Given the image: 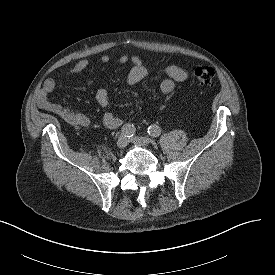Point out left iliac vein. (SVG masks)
I'll list each match as a JSON object with an SVG mask.
<instances>
[{
  "label": "left iliac vein",
  "instance_id": "left-iliac-vein-1",
  "mask_svg": "<svg viewBox=\"0 0 275 275\" xmlns=\"http://www.w3.org/2000/svg\"><path fill=\"white\" fill-rule=\"evenodd\" d=\"M133 144L141 147H147L150 144V140L146 137L135 136L130 140Z\"/></svg>",
  "mask_w": 275,
  "mask_h": 275
}]
</instances>
